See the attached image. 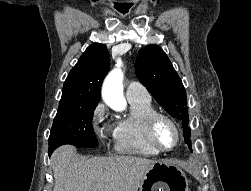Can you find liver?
Masks as SVG:
<instances>
[{
    "instance_id": "liver-1",
    "label": "liver",
    "mask_w": 251,
    "mask_h": 191,
    "mask_svg": "<svg viewBox=\"0 0 251 191\" xmlns=\"http://www.w3.org/2000/svg\"><path fill=\"white\" fill-rule=\"evenodd\" d=\"M74 145H61L51 155L53 191H138L145 171L156 159L114 155L79 157Z\"/></svg>"
}]
</instances>
